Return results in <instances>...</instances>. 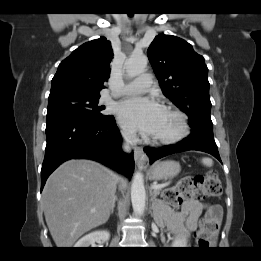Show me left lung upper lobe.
<instances>
[{
  "label": "left lung upper lobe",
  "instance_id": "left-lung-upper-lobe-1",
  "mask_svg": "<svg viewBox=\"0 0 261 261\" xmlns=\"http://www.w3.org/2000/svg\"><path fill=\"white\" fill-rule=\"evenodd\" d=\"M147 53L163 94L188 115L190 127H213L204 57L185 40L164 34L155 37Z\"/></svg>",
  "mask_w": 261,
  "mask_h": 261
}]
</instances>
